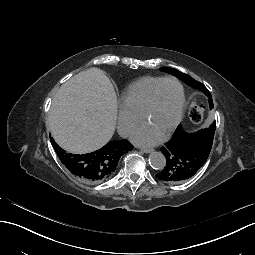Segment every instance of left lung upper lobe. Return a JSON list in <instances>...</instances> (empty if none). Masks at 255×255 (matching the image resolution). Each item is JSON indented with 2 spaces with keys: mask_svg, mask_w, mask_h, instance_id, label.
I'll return each mask as SVG.
<instances>
[{
  "mask_svg": "<svg viewBox=\"0 0 255 255\" xmlns=\"http://www.w3.org/2000/svg\"><path fill=\"white\" fill-rule=\"evenodd\" d=\"M161 71H164V72H167V73H170L174 76H176L177 78H179L180 80H182L184 83L190 85L191 87L193 88H197L199 90H202L206 95L207 97L209 98V105H210V109H212L214 107L213 105V101H212V96L211 94L209 93V91L207 90V88L200 82L194 80L192 77H190L189 75L187 74H184L174 68H169V67H166V68H160ZM215 129H216V123L214 121V123L209 127V128H206L204 129L203 131H198L196 132V134H199V135H203L202 137V141L203 143L205 144L204 146V149L206 152L208 153H211L214 151L215 149V146L213 144V139H214V133H215ZM182 132L181 131V127L179 126L174 135H178V134H181L182 135ZM162 152V150H161ZM164 155V154H163ZM165 156V155H164ZM166 158V157H165ZM202 167V166H200ZM189 179V178H188ZM161 180V179H159ZM161 181H164V180H161Z\"/></svg>",
  "mask_w": 255,
  "mask_h": 255,
  "instance_id": "5c2ea615",
  "label": "left lung upper lobe"
}]
</instances>
